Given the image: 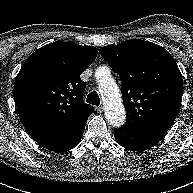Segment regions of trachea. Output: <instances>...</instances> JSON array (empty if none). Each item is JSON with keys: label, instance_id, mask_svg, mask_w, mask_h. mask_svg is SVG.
I'll return each instance as SVG.
<instances>
[{"label": "trachea", "instance_id": "trachea-1", "mask_svg": "<svg viewBox=\"0 0 193 193\" xmlns=\"http://www.w3.org/2000/svg\"><path fill=\"white\" fill-rule=\"evenodd\" d=\"M86 102L95 106H99L100 104V98L96 91L91 92L88 94L86 98Z\"/></svg>", "mask_w": 193, "mask_h": 193}]
</instances>
